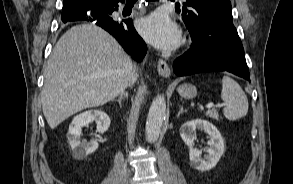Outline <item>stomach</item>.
Returning a JSON list of instances; mask_svg holds the SVG:
<instances>
[{
    "label": "stomach",
    "mask_w": 293,
    "mask_h": 184,
    "mask_svg": "<svg viewBox=\"0 0 293 184\" xmlns=\"http://www.w3.org/2000/svg\"><path fill=\"white\" fill-rule=\"evenodd\" d=\"M179 95L185 99H192L197 95V89L191 84H182L177 88Z\"/></svg>",
    "instance_id": "0dacf381"
}]
</instances>
